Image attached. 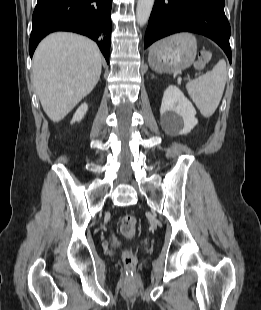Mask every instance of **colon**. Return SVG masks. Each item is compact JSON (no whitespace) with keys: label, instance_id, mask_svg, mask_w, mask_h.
I'll return each instance as SVG.
<instances>
[{"label":"colon","instance_id":"colon-1","mask_svg":"<svg viewBox=\"0 0 261 310\" xmlns=\"http://www.w3.org/2000/svg\"><path fill=\"white\" fill-rule=\"evenodd\" d=\"M210 60L208 53H202L199 57L198 67H204ZM137 219L134 215H124L120 220L121 234L126 238H132L136 234ZM123 261L127 267H133L136 264V256L131 251H124Z\"/></svg>","mask_w":261,"mask_h":310}]
</instances>
